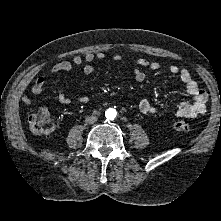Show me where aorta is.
Wrapping results in <instances>:
<instances>
[{
    "mask_svg": "<svg viewBox=\"0 0 221 221\" xmlns=\"http://www.w3.org/2000/svg\"><path fill=\"white\" fill-rule=\"evenodd\" d=\"M117 112L114 108H109L105 112V116L109 120H114L116 118Z\"/></svg>",
    "mask_w": 221,
    "mask_h": 221,
    "instance_id": "1",
    "label": "aorta"
}]
</instances>
